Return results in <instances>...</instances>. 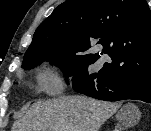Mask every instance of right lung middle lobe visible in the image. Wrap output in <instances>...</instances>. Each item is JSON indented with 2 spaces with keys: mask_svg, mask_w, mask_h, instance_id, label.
<instances>
[{
  "mask_svg": "<svg viewBox=\"0 0 151 131\" xmlns=\"http://www.w3.org/2000/svg\"><path fill=\"white\" fill-rule=\"evenodd\" d=\"M44 60L58 66L66 78L72 77V81L78 78L104 77L101 71L88 72V66L96 61L88 57L86 53H81L75 47L68 45L31 46L24 55L22 67L31 69Z\"/></svg>",
  "mask_w": 151,
  "mask_h": 131,
  "instance_id": "1",
  "label": "right lung middle lobe"
}]
</instances>
